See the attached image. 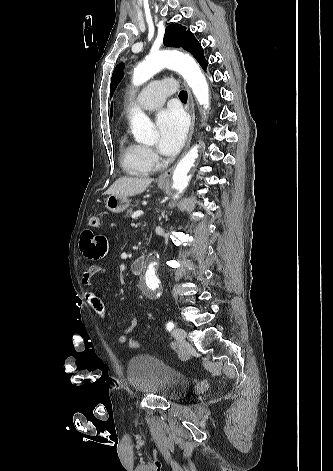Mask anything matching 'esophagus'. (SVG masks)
Segmentation results:
<instances>
[{
	"label": "esophagus",
	"instance_id": "1",
	"mask_svg": "<svg viewBox=\"0 0 333 471\" xmlns=\"http://www.w3.org/2000/svg\"><path fill=\"white\" fill-rule=\"evenodd\" d=\"M185 88L187 90V93H188V104H187V110L191 116V124H190V130H189V134H188V139H187V144H186V148H185V151L187 150V148L189 147L190 145V142H191V139H192V135H193V132H194V126H195V111H194V101H193V97L191 95V92L189 90V88L185 85ZM173 170H174V166H172L170 169H168L167 171H165L164 173H162L159 177H158V182L160 183H165V182H169L170 180V177L173 173Z\"/></svg>",
	"mask_w": 333,
	"mask_h": 471
}]
</instances>
